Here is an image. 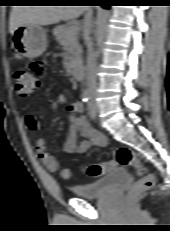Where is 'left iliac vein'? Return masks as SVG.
Instances as JSON below:
<instances>
[{
    "label": "left iliac vein",
    "instance_id": "1",
    "mask_svg": "<svg viewBox=\"0 0 170 231\" xmlns=\"http://www.w3.org/2000/svg\"><path fill=\"white\" fill-rule=\"evenodd\" d=\"M96 112H97V104L94 101V97L91 96V101L88 106V113L91 119H96Z\"/></svg>",
    "mask_w": 170,
    "mask_h": 231
}]
</instances>
